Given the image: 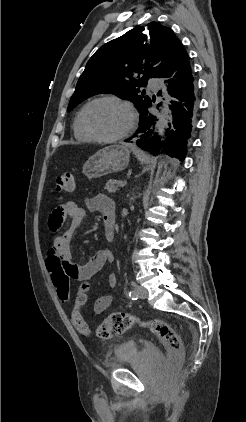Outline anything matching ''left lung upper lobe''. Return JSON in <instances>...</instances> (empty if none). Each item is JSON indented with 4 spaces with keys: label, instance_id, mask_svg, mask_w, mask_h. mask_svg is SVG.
<instances>
[{
    "label": "left lung upper lobe",
    "instance_id": "1",
    "mask_svg": "<svg viewBox=\"0 0 246 422\" xmlns=\"http://www.w3.org/2000/svg\"><path fill=\"white\" fill-rule=\"evenodd\" d=\"M182 44L173 31L157 22L136 27L106 43L89 59L68 111L87 98L112 93L133 102L141 114L151 98L140 91L149 78H162ZM135 73L142 74L140 79Z\"/></svg>",
    "mask_w": 246,
    "mask_h": 422
}]
</instances>
